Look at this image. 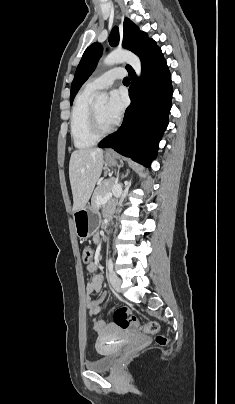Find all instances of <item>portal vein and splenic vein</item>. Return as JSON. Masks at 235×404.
I'll use <instances>...</instances> for the list:
<instances>
[{
    "mask_svg": "<svg viewBox=\"0 0 235 404\" xmlns=\"http://www.w3.org/2000/svg\"><path fill=\"white\" fill-rule=\"evenodd\" d=\"M112 193L111 192H109V193H107L106 195H104V196H100L99 198H98V204H105L109 199H111L112 198Z\"/></svg>",
    "mask_w": 235,
    "mask_h": 404,
    "instance_id": "obj_1",
    "label": "portal vein and splenic vein"
}]
</instances>
